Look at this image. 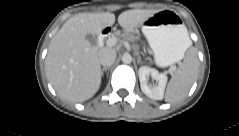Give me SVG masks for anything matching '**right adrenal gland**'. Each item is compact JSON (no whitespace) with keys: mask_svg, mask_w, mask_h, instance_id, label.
Returning a JSON list of instances; mask_svg holds the SVG:
<instances>
[{"mask_svg":"<svg viewBox=\"0 0 239 136\" xmlns=\"http://www.w3.org/2000/svg\"><path fill=\"white\" fill-rule=\"evenodd\" d=\"M107 70H109V67H103L102 70H101V75L103 76L104 71H107Z\"/></svg>","mask_w":239,"mask_h":136,"instance_id":"1","label":"right adrenal gland"}]
</instances>
